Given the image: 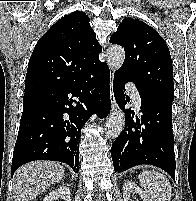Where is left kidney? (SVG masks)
<instances>
[{
	"label": "left kidney",
	"instance_id": "obj_1",
	"mask_svg": "<svg viewBox=\"0 0 196 201\" xmlns=\"http://www.w3.org/2000/svg\"><path fill=\"white\" fill-rule=\"evenodd\" d=\"M138 193L143 201H152L148 195L132 181H126L123 186V201H130L133 193Z\"/></svg>",
	"mask_w": 196,
	"mask_h": 201
}]
</instances>
